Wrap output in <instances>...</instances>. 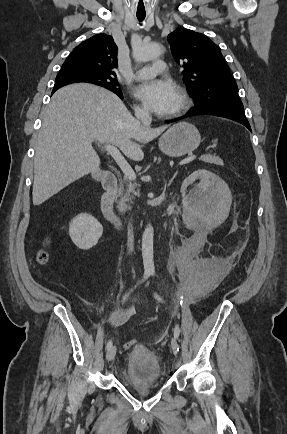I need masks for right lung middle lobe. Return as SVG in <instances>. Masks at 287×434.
Here are the masks:
<instances>
[{
  "label": "right lung middle lobe",
  "mask_w": 287,
  "mask_h": 434,
  "mask_svg": "<svg viewBox=\"0 0 287 434\" xmlns=\"http://www.w3.org/2000/svg\"><path fill=\"white\" fill-rule=\"evenodd\" d=\"M91 83L105 87L117 95H122L116 76L91 72L78 68L61 69L55 79V86L71 83Z\"/></svg>",
  "instance_id": "dd1d6c3e"
}]
</instances>
